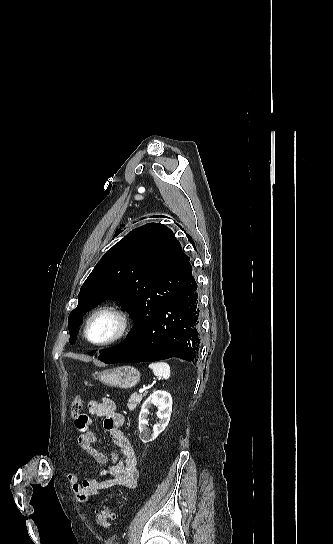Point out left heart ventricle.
I'll list each match as a JSON object with an SVG mask.
<instances>
[{"instance_id": "left-heart-ventricle-1", "label": "left heart ventricle", "mask_w": 333, "mask_h": 544, "mask_svg": "<svg viewBox=\"0 0 333 544\" xmlns=\"http://www.w3.org/2000/svg\"><path fill=\"white\" fill-rule=\"evenodd\" d=\"M117 326V320L113 315L109 313L100 314L90 325L89 337L93 341L107 340L116 332Z\"/></svg>"}]
</instances>
